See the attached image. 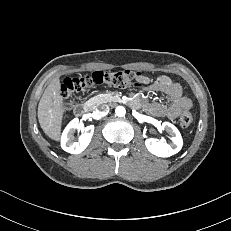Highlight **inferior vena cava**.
<instances>
[{"mask_svg":"<svg viewBox=\"0 0 231 231\" xmlns=\"http://www.w3.org/2000/svg\"><path fill=\"white\" fill-rule=\"evenodd\" d=\"M99 113L101 116H106L109 113V106L107 104H103L98 107Z\"/></svg>","mask_w":231,"mask_h":231,"instance_id":"1","label":"inferior vena cava"}]
</instances>
